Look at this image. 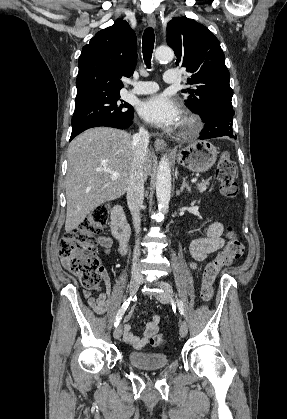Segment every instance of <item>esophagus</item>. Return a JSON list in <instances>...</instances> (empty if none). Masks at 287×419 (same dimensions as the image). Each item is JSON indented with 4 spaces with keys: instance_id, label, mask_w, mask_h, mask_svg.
<instances>
[{
    "instance_id": "1",
    "label": "esophagus",
    "mask_w": 287,
    "mask_h": 419,
    "mask_svg": "<svg viewBox=\"0 0 287 419\" xmlns=\"http://www.w3.org/2000/svg\"><path fill=\"white\" fill-rule=\"evenodd\" d=\"M147 22L148 24L153 27L156 28L157 27V22H156V18L154 16V14H148L147 15ZM154 146L157 150H164L166 148V143L162 138H156L154 141Z\"/></svg>"
}]
</instances>
